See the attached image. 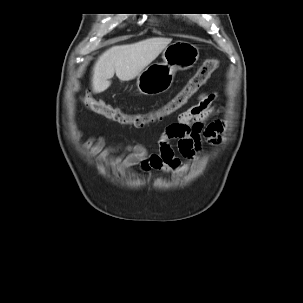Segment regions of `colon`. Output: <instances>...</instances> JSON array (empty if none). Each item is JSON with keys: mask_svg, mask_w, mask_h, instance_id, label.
<instances>
[{"mask_svg": "<svg viewBox=\"0 0 303 303\" xmlns=\"http://www.w3.org/2000/svg\"><path fill=\"white\" fill-rule=\"evenodd\" d=\"M218 66L219 62L215 59L205 60L197 72L172 99L159 109L148 114L126 113L104 98L85 97L82 102L88 110L103 115L113 122L141 127L145 124L161 120L184 107L189 99L208 82L211 74Z\"/></svg>", "mask_w": 303, "mask_h": 303, "instance_id": "colon-1", "label": "colon"}]
</instances>
